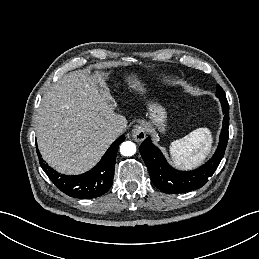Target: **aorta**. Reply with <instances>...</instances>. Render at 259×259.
Masks as SVG:
<instances>
[{
  "instance_id": "obj_1",
  "label": "aorta",
  "mask_w": 259,
  "mask_h": 259,
  "mask_svg": "<svg viewBox=\"0 0 259 259\" xmlns=\"http://www.w3.org/2000/svg\"><path fill=\"white\" fill-rule=\"evenodd\" d=\"M136 152V145L131 141L123 142L120 146V153L123 156H132Z\"/></svg>"
}]
</instances>
